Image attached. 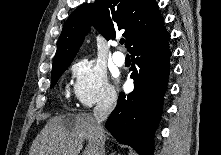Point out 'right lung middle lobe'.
<instances>
[{
    "instance_id": "obj_1",
    "label": "right lung middle lobe",
    "mask_w": 221,
    "mask_h": 155,
    "mask_svg": "<svg viewBox=\"0 0 221 155\" xmlns=\"http://www.w3.org/2000/svg\"><path fill=\"white\" fill-rule=\"evenodd\" d=\"M68 66H69V64L60 66V67L55 68V69L52 70L51 87H53L56 84V82L58 81V79L60 78V76L63 74V72L66 70V68Z\"/></svg>"
}]
</instances>
